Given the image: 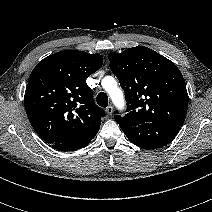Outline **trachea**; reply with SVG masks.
<instances>
[{"mask_svg": "<svg viewBox=\"0 0 212 212\" xmlns=\"http://www.w3.org/2000/svg\"><path fill=\"white\" fill-rule=\"evenodd\" d=\"M96 101H97V104L103 108L107 107L108 105V96L106 93L104 92H100L98 95H97V98H96Z\"/></svg>", "mask_w": 212, "mask_h": 212, "instance_id": "obj_1", "label": "trachea"}]
</instances>
